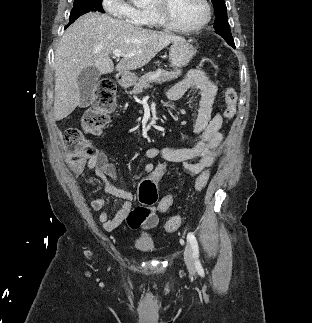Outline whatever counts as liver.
I'll return each instance as SVG.
<instances>
[{"instance_id": "obj_1", "label": "liver", "mask_w": 312, "mask_h": 323, "mask_svg": "<svg viewBox=\"0 0 312 323\" xmlns=\"http://www.w3.org/2000/svg\"><path fill=\"white\" fill-rule=\"evenodd\" d=\"M179 40L181 36L136 28L108 14H84L67 28L55 50V120L67 118L79 106L78 76L84 68L94 66L101 74L137 70ZM114 50L135 56L122 58L114 68Z\"/></svg>"}]
</instances>
